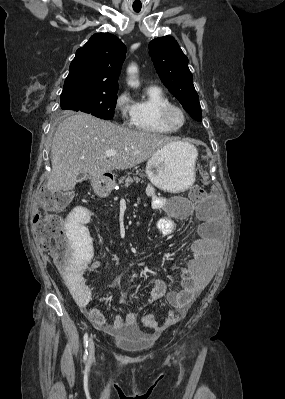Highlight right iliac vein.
Here are the masks:
<instances>
[{
  "mask_svg": "<svg viewBox=\"0 0 285 399\" xmlns=\"http://www.w3.org/2000/svg\"><path fill=\"white\" fill-rule=\"evenodd\" d=\"M95 355V345H94V340L93 336L91 335L89 338V359L91 360L94 358Z\"/></svg>",
  "mask_w": 285,
  "mask_h": 399,
  "instance_id": "63e3f726",
  "label": "right iliac vein"
}]
</instances>
